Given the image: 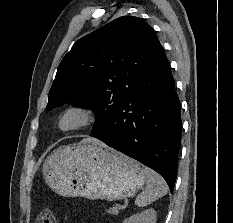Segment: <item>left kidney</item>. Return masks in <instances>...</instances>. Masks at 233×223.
Instances as JSON below:
<instances>
[{
    "label": "left kidney",
    "instance_id": "obj_1",
    "mask_svg": "<svg viewBox=\"0 0 233 223\" xmlns=\"http://www.w3.org/2000/svg\"><path fill=\"white\" fill-rule=\"evenodd\" d=\"M156 211L155 209H144L142 213H134L131 217H126L123 223H156Z\"/></svg>",
    "mask_w": 233,
    "mask_h": 223
}]
</instances>
